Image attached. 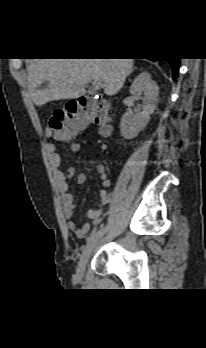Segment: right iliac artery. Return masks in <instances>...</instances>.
Instances as JSON below:
<instances>
[{"instance_id":"right-iliac-artery-1","label":"right iliac artery","mask_w":206,"mask_h":348,"mask_svg":"<svg viewBox=\"0 0 206 348\" xmlns=\"http://www.w3.org/2000/svg\"><path fill=\"white\" fill-rule=\"evenodd\" d=\"M103 204H104V205L110 204V199H109V197H108L107 195H104V196H103ZM96 230H97V227H94L93 230H92V232H91V234H90V236H93L94 233L96 232ZM88 239H89V238H88Z\"/></svg>"}]
</instances>
